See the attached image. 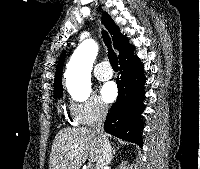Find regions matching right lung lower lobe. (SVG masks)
I'll return each mask as SVG.
<instances>
[{"label": "right lung lower lobe", "instance_id": "98d812e1", "mask_svg": "<svg viewBox=\"0 0 200 169\" xmlns=\"http://www.w3.org/2000/svg\"><path fill=\"white\" fill-rule=\"evenodd\" d=\"M143 68L140 59L133 54L120 61L117 102L112 105L104 124L106 132L139 146H142L144 127L141 120L146 81Z\"/></svg>", "mask_w": 200, "mask_h": 169}]
</instances>
